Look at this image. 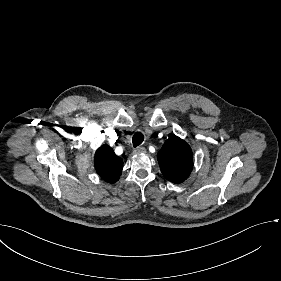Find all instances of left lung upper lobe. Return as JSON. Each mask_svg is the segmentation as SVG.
<instances>
[{"instance_id":"5c2ea615","label":"left lung upper lobe","mask_w":281,"mask_h":281,"mask_svg":"<svg viewBox=\"0 0 281 281\" xmlns=\"http://www.w3.org/2000/svg\"><path fill=\"white\" fill-rule=\"evenodd\" d=\"M157 159L164 177L174 183L186 180L193 167L191 148L178 137H172L165 141Z\"/></svg>"}]
</instances>
